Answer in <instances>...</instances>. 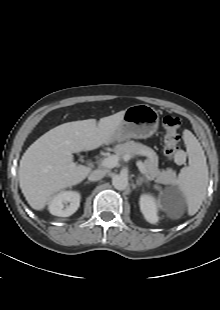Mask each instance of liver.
Instances as JSON below:
<instances>
[{"mask_svg":"<svg viewBox=\"0 0 220 310\" xmlns=\"http://www.w3.org/2000/svg\"><path fill=\"white\" fill-rule=\"evenodd\" d=\"M124 112L61 124L38 138L23 154L19 185L28 204L43 210L59 191L81 183L91 172L73 162V153L94 150L114 141Z\"/></svg>","mask_w":220,"mask_h":310,"instance_id":"obj_1","label":"liver"}]
</instances>
